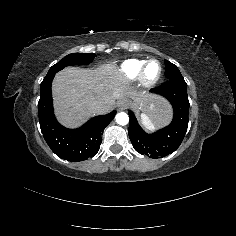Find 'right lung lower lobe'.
I'll list each match as a JSON object with an SVG mask.
<instances>
[{
  "mask_svg": "<svg viewBox=\"0 0 236 236\" xmlns=\"http://www.w3.org/2000/svg\"><path fill=\"white\" fill-rule=\"evenodd\" d=\"M56 73L48 72L41 83L38 102L41 132L51 150L60 158L72 162L86 160L98 152L103 131L116 111L96 116L77 129L63 127L56 120L52 105L51 84Z\"/></svg>",
  "mask_w": 236,
  "mask_h": 236,
  "instance_id": "right-lung-lower-lobe-1",
  "label": "right lung lower lobe"
}]
</instances>
